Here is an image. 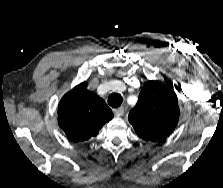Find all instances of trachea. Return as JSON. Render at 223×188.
Here are the masks:
<instances>
[{"instance_id":"trachea-1","label":"trachea","mask_w":223,"mask_h":188,"mask_svg":"<svg viewBox=\"0 0 223 188\" xmlns=\"http://www.w3.org/2000/svg\"><path fill=\"white\" fill-rule=\"evenodd\" d=\"M123 98L120 94L118 93H112L108 97V104L111 107L117 108L122 104Z\"/></svg>"}]
</instances>
